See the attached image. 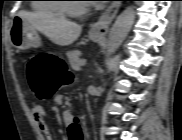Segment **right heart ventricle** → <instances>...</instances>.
I'll list each match as a JSON object with an SVG mask.
<instances>
[{"instance_id": "right-heart-ventricle-1", "label": "right heart ventricle", "mask_w": 182, "mask_h": 140, "mask_svg": "<svg viewBox=\"0 0 182 140\" xmlns=\"http://www.w3.org/2000/svg\"><path fill=\"white\" fill-rule=\"evenodd\" d=\"M61 0H33L31 3V8L40 13L63 16L64 11L61 7Z\"/></svg>"}]
</instances>
